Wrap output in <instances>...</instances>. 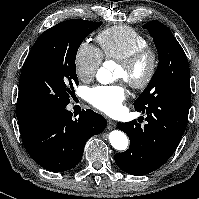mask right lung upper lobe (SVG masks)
<instances>
[{
	"mask_svg": "<svg viewBox=\"0 0 199 199\" xmlns=\"http://www.w3.org/2000/svg\"><path fill=\"white\" fill-rule=\"evenodd\" d=\"M17 118H18L20 130H23L24 128H26L33 121V120L23 119L21 117H17Z\"/></svg>",
	"mask_w": 199,
	"mask_h": 199,
	"instance_id": "cb5924a9",
	"label": "right lung upper lobe"
}]
</instances>
